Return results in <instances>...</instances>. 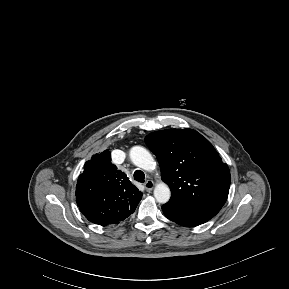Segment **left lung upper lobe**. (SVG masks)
<instances>
[{
  "instance_id": "5c2ea615",
  "label": "left lung upper lobe",
  "mask_w": 289,
  "mask_h": 289,
  "mask_svg": "<svg viewBox=\"0 0 289 289\" xmlns=\"http://www.w3.org/2000/svg\"><path fill=\"white\" fill-rule=\"evenodd\" d=\"M171 190L169 201L216 215L227 200L230 171L212 144L192 129L156 131L145 138Z\"/></svg>"
}]
</instances>
